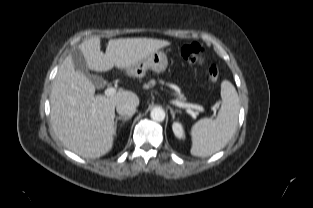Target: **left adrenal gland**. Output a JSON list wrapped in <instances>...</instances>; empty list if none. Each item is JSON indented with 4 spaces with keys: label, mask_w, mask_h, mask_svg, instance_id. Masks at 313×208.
<instances>
[{
    "label": "left adrenal gland",
    "mask_w": 313,
    "mask_h": 208,
    "mask_svg": "<svg viewBox=\"0 0 313 208\" xmlns=\"http://www.w3.org/2000/svg\"><path fill=\"white\" fill-rule=\"evenodd\" d=\"M169 109H170V113H171V115H172V119L175 118V114H176V113H178V112L180 113V111H178V110H175V111H174L171 107H169Z\"/></svg>",
    "instance_id": "left-adrenal-gland-1"
}]
</instances>
